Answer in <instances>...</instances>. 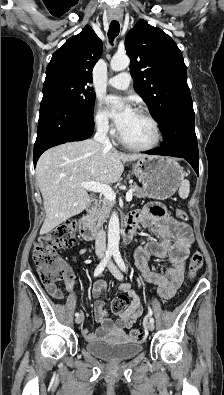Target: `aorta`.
<instances>
[{
    "mask_svg": "<svg viewBox=\"0 0 224 395\" xmlns=\"http://www.w3.org/2000/svg\"><path fill=\"white\" fill-rule=\"evenodd\" d=\"M130 64V59L127 55H114L110 62V67L113 71H122ZM117 213H113L108 225V251L115 253L119 251L120 241V227Z\"/></svg>",
    "mask_w": 224,
    "mask_h": 395,
    "instance_id": "aorta-1",
    "label": "aorta"
}]
</instances>
